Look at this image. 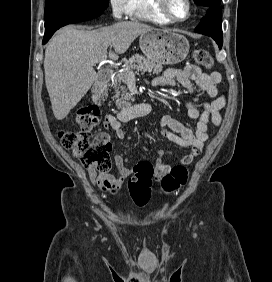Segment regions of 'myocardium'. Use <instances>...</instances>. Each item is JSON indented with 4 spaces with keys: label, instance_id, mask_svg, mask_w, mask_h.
<instances>
[{
    "label": "myocardium",
    "instance_id": "f54148a6",
    "mask_svg": "<svg viewBox=\"0 0 272 282\" xmlns=\"http://www.w3.org/2000/svg\"><path fill=\"white\" fill-rule=\"evenodd\" d=\"M156 7L158 8V10L169 20L173 21V22H182L185 21L186 19H188L191 15L192 12V3L191 0H184L186 7H187V12L186 15L183 18H179L174 16L168 7V0H156Z\"/></svg>",
    "mask_w": 272,
    "mask_h": 282
}]
</instances>
